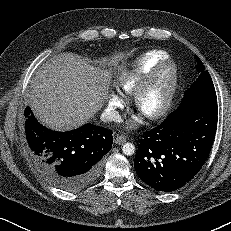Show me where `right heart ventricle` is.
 Listing matches in <instances>:
<instances>
[{"instance_id":"obj_1","label":"right heart ventricle","mask_w":231,"mask_h":231,"mask_svg":"<svg viewBox=\"0 0 231 231\" xmlns=\"http://www.w3.org/2000/svg\"><path fill=\"white\" fill-rule=\"evenodd\" d=\"M167 57L168 54L162 50H151L143 53L118 76L117 86L125 93L132 94L155 65Z\"/></svg>"}]
</instances>
